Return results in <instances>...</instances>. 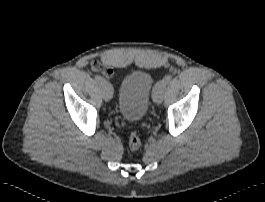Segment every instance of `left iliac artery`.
<instances>
[{
	"label": "left iliac artery",
	"mask_w": 265,
	"mask_h": 202,
	"mask_svg": "<svg viewBox=\"0 0 265 202\" xmlns=\"http://www.w3.org/2000/svg\"><path fill=\"white\" fill-rule=\"evenodd\" d=\"M172 76L170 74L165 75V77L163 78V81L167 84L171 81ZM159 86V82L155 85V89Z\"/></svg>",
	"instance_id": "44dca946"
}]
</instances>
